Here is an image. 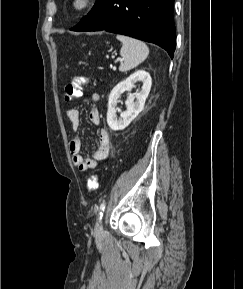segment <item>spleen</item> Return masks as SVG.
<instances>
[{"mask_svg": "<svg viewBox=\"0 0 243 289\" xmlns=\"http://www.w3.org/2000/svg\"><path fill=\"white\" fill-rule=\"evenodd\" d=\"M116 38L122 43L120 55L123 63L119 66V71L134 69L147 58L149 49L144 42L124 35H117Z\"/></svg>", "mask_w": 243, "mask_h": 289, "instance_id": "spleen-1", "label": "spleen"}]
</instances>
